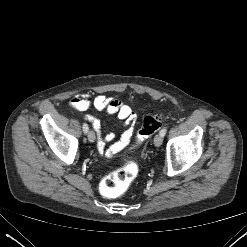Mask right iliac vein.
<instances>
[{"label":"right iliac vein","instance_id":"1","mask_svg":"<svg viewBox=\"0 0 247 247\" xmlns=\"http://www.w3.org/2000/svg\"><path fill=\"white\" fill-rule=\"evenodd\" d=\"M87 137H88V140H89L90 142H94V141H95V133H94L92 130H90V131L88 132Z\"/></svg>","mask_w":247,"mask_h":247}]
</instances>
